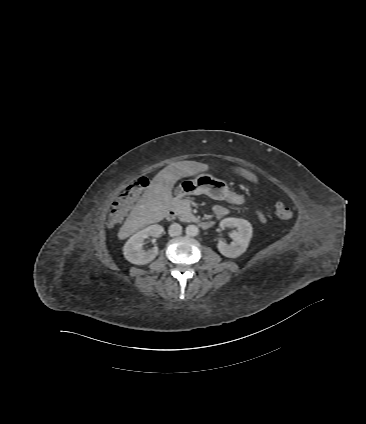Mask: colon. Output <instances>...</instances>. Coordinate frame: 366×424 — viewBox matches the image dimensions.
<instances>
[{
    "label": "colon",
    "instance_id": "obj_1",
    "mask_svg": "<svg viewBox=\"0 0 366 424\" xmlns=\"http://www.w3.org/2000/svg\"><path fill=\"white\" fill-rule=\"evenodd\" d=\"M149 183V177H141L127 186L123 193L117 197L108 216V225L110 227L119 224L123 220V217L133 202L139 197L143 189H145ZM275 213L280 219L288 220L292 218L294 214V207L285 205L282 202H277L275 205Z\"/></svg>",
    "mask_w": 366,
    "mask_h": 424
}]
</instances>
